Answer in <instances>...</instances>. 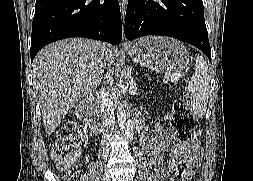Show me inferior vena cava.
<instances>
[{"label": "inferior vena cava", "instance_id": "obj_1", "mask_svg": "<svg viewBox=\"0 0 253 181\" xmlns=\"http://www.w3.org/2000/svg\"><path fill=\"white\" fill-rule=\"evenodd\" d=\"M107 79L105 87L102 89V92L104 94V99H103V109L105 112V115H107V127L108 131L105 133V139L106 137H109L110 134L115 133V128H114V123L115 120L113 119V102H112V94H111V85H112V77L111 75L108 77H105Z\"/></svg>", "mask_w": 253, "mask_h": 181}]
</instances>
